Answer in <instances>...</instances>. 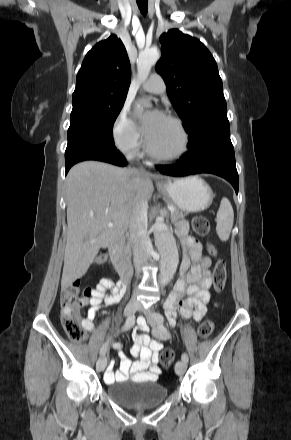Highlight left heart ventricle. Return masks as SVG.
Segmentation results:
<instances>
[{"label":"left heart ventricle","instance_id":"left-heart-ventricle-1","mask_svg":"<svg viewBox=\"0 0 291 440\" xmlns=\"http://www.w3.org/2000/svg\"><path fill=\"white\" fill-rule=\"evenodd\" d=\"M151 146L161 154L174 155L181 149V135L175 125L162 117L147 137Z\"/></svg>","mask_w":291,"mask_h":440}]
</instances>
